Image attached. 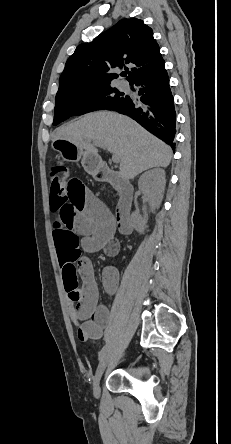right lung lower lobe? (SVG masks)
Here are the masks:
<instances>
[{
    "mask_svg": "<svg viewBox=\"0 0 231 444\" xmlns=\"http://www.w3.org/2000/svg\"><path fill=\"white\" fill-rule=\"evenodd\" d=\"M130 84L139 86L140 100L125 96L110 110L130 116L175 149L173 141L176 133V112L165 67L141 76Z\"/></svg>",
    "mask_w": 231,
    "mask_h": 444,
    "instance_id": "right-lung-lower-lobe-1",
    "label": "right lung lower lobe"
}]
</instances>
